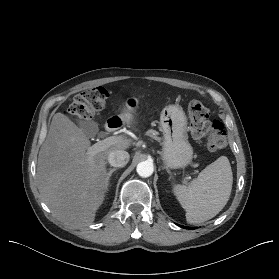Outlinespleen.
<instances>
[{
	"label": "spleen",
	"instance_id": "obj_1",
	"mask_svg": "<svg viewBox=\"0 0 279 279\" xmlns=\"http://www.w3.org/2000/svg\"><path fill=\"white\" fill-rule=\"evenodd\" d=\"M233 174L226 156L203 169L189 186H174V194L186 211L190 224L203 223L215 217L227 204L232 190Z\"/></svg>",
	"mask_w": 279,
	"mask_h": 279
}]
</instances>
